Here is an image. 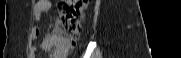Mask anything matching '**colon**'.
<instances>
[{
    "instance_id": "1",
    "label": "colon",
    "mask_w": 181,
    "mask_h": 58,
    "mask_svg": "<svg viewBox=\"0 0 181 58\" xmlns=\"http://www.w3.org/2000/svg\"><path fill=\"white\" fill-rule=\"evenodd\" d=\"M88 0H65L58 5L56 31L48 38V48L65 57L80 38Z\"/></svg>"
}]
</instances>
